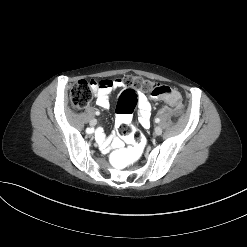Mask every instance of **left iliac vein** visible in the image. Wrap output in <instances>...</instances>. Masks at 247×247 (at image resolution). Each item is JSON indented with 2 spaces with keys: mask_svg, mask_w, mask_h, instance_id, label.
I'll list each match as a JSON object with an SVG mask.
<instances>
[{
  "mask_svg": "<svg viewBox=\"0 0 247 247\" xmlns=\"http://www.w3.org/2000/svg\"><path fill=\"white\" fill-rule=\"evenodd\" d=\"M154 132H155L156 135H161L162 134V128L157 126V127H155Z\"/></svg>",
  "mask_w": 247,
  "mask_h": 247,
  "instance_id": "left-iliac-vein-1",
  "label": "left iliac vein"
}]
</instances>
